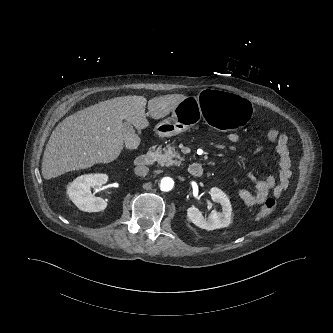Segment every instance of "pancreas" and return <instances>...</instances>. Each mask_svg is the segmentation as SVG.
I'll return each instance as SVG.
<instances>
[{
    "instance_id": "1",
    "label": "pancreas",
    "mask_w": 333,
    "mask_h": 333,
    "mask_svg": "<svg viewBox=\"0 0 333 333\" xmlns=\"http://www.w3.org/2000/svg\"><path fill=\"white\" fill-rule=\"evenodd\" d=\"M174 157L177 159L173 160ZM156 158L158 163L162 166L180 165L181 163V157L179 156L175 147L170 145H167L163 151L161 148H158L156 150Z\"/></svg>"
}]
</instances>
